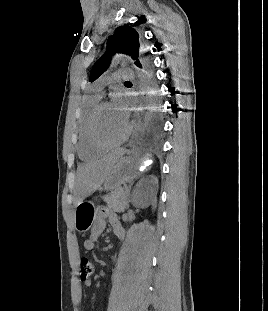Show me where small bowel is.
Listing matches in <instances>:
<instances>
[{"instance_id":"small-bowel-1","label":"small bowel","mask_w":268,"mask_h":311,"mask_svg":"<svg viewBox=\"0 0 268 311\" xmlns=\"http://www.w3.org/2000/svg\"><path fill=\"white\" fill-rule=\"evenodd\" d=\"M107 223L110 224L112 227L115 235L120 238L124 239L125 231L122 225L120 224L119 220L115 216V214L109 212L108 210H102L91 229V233L88 238H86L83 242L84 248L86 250H91L94 248L95 243L100 238L101 234L103 233ZM82 284L86 287L91 286L92 280L91 278L81 279Z\"/></svg>"}]
</instances>
